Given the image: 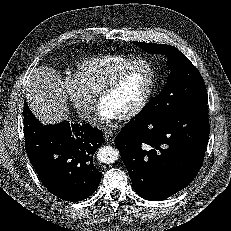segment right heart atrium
Instances as JSON below:
<instances>
[{"mask_svg":"<svg viewBox=\"0 0 231 231\" xmlns=\"http://www.w3.org/2000/svg\"><path fill=\"white\" fill-rule=\"evenodd\" d=\"M60 91L72 102L82 120H91L95 109L94 99L81 87L74 75L63 77Z\"/></svg>","mask_w":231,"mask_h":231,"instance_id":"d8ad5b80","label":"right heart atrium"}]
</instances>
